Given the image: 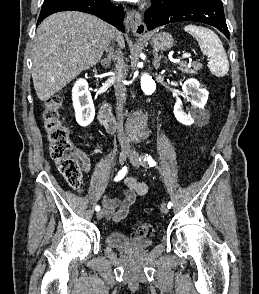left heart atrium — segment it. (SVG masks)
Wrapping results in <instances>:
<instances>
[{"instance_id": "39dd6f15", "label": "left heart atrium", "mask_w": 259, "mask_h": 294, "mask_svg": "<svg viewBox=\"0 0 259 294\" xmlns=\"http://www.w3.org/2000/svg\"><path fill=\"white\" fill-rule=\"evenodd\" d=\"M117 1H130V2H136L138 0H117Z\"/></svg>"}]
</instances>
